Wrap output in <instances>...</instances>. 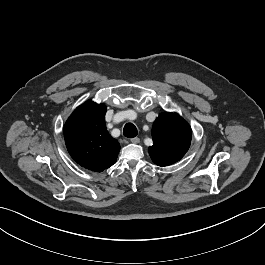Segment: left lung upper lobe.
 <instances>
[{"mask_svg": "<svg viewBox=\"0 0 265 265\" xmlns=\"http://www.w3.org/2000/svg\"><path fill=\"white\" fill-rule=\"evenodd\" d=\"M192 130L177 113H162L152 127L153 145L148 151L158 166L171 165L185 155L190 147Z\"/></svg>", "mask_w": 265, "mask_h": 265, "instance_id": "left-lung-upper-lobe-1", "label": "left lung upper lobe"}]
</instances>
